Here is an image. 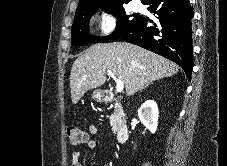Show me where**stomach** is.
I'll return each instance as SVG.
<instances>
[{
    "mask_svg": "<svg viewBox=\"0 0 227 166\" xmlns=\"http://www.w3.org/2000/svg\"><path fill=\"white\" fill-rule=\"evenodd\" d=\"M104 98H105V93L102 90L97 89L92 93V99H94L97 102H103Z\"/></svg>",
    "mask_w": 227,
    "mask_h": 166,
    "instance_id": "stomach-1",
    "label": "stomach"
}]
</instances>
